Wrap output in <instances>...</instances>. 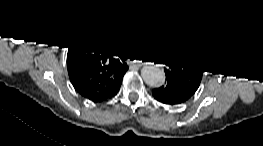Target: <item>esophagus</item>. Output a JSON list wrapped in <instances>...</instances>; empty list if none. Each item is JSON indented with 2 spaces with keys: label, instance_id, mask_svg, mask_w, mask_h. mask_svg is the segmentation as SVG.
Listing matches in <instances>:
<instances>
[{
  "label": "esophagus",
  "instance_id": "obj_1",
  "mask_svg": "<svg viewBox=\"0 0 263 146\" xmlns=\"http://www.w3.org/2000/svg\"><path fill=\"white\" fill-rule=\"evenodd\" d=\"M140 66H141V63H139V62H134L133 63V68L136 69V70L140 69Z\"/></svg>",
  "mask_w": 263,
  "mask_h": 146
}]
</instances>
